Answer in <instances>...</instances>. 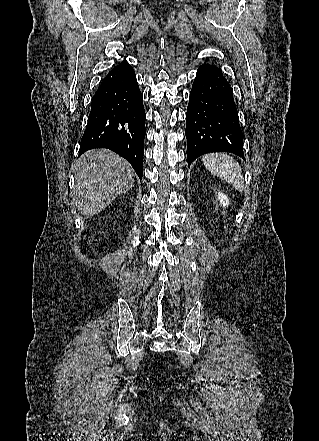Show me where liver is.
Segmentation results:
<instances>
[{"label": "liver", "mask_w": 319, "mask_h": 441, "mask_svg": "<svg viewBox=\"0 0 319 441\" xmlns=\"http://www.w3.org/2000/svg\"><path fill=\"white\" fill-rule=\"evenodd\" d=\"M74 173L73 205L86 217L100 213L127 192L135 178L134 170L125 159L104 149L83 154Z\"/></svg>", "instance_id": "6515ba94"}]
</instances>
